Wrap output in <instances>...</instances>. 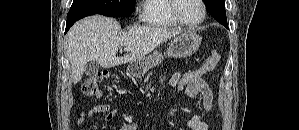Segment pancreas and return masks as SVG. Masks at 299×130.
<instances>
[{"mask_svg": "<svg viewBox=\"0 0 299 130\" xmlns=\"http://www.w3.org/2000/svg\"><path fill=\"white\" fill-rule=\"evenodd\" d=\"M150 75H152V72L148 73V75L146 76V78L144 79V82H148L149 81V77Z\"/></svg>", "mask_w": 299, "mask_h": 130, "instance_id": "cf45deb5", "label": "pancreas"}]
</instances>
